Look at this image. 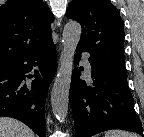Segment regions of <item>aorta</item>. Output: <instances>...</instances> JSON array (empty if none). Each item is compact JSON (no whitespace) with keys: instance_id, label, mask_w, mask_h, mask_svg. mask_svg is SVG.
<instances>
[{"instance_id":"aorta-1","label":"aorta","mask_w":144,"mask_h":137,"mask_svg":"<svg viewBox=\"0 0 144 137\" xmlns=\"http://www.w3.org/2000/svg\"><path fill=\"white\" fill-rule=\"evenodd\" d=\"M81 33V25L76 21H70L65 25L62 34L63 58L51 92L53 114L61 121L65 120L68 113L73 61Z\"/></svg>"}]
</instances>
